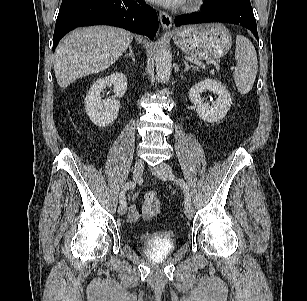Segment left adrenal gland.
I'll return each instance as SVG.
<instances>
[{
	"instance_id": "obj_1",
	"label": "left adrenal gland",
	"mask_w": 307,
	"mask_h": 301,
	"mask_svg": "<svg viewBox=\"0 0 307 301\" xmlns=\"http://www.w3.org/2000/svg\"><path fill=\"white\" fill-rule=\"evenodd\" d=\"M184 64H185L184 72L188 71L190 68H195V66L189 65L187 61H184Z\"/></svg>"
}]
</instances>
